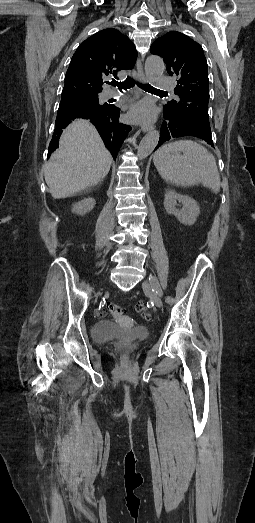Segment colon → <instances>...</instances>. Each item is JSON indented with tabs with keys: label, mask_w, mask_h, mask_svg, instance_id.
Listing matches in <instances>:
<instances>
[{
	"label": "colon",
	"mask_w": 255,
	"mask_h": 523,
	"mask_svg": "<svg viewBox=\"0 0 255 523\" xmlns=\"http://www.w3.org/2000/svg\"><path fill=\"white\" fill-rule=\"evenodd\" d=\"M136 310L138 313L142 315L147 320L151 319V314L147 312L145 306L143 303L139 302L136 305ZM109 311L113 316H120L123 313V308L119 305H111L109 307Z\"/></svg>",
	"instance_id": "1"
}]
</instances>
